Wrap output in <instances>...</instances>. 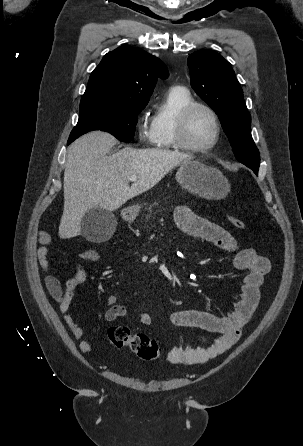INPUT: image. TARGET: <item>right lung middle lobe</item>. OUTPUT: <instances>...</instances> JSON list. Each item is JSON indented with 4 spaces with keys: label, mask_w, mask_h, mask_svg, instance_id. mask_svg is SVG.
Instances as JSON below:
<instances>
[{
    "label": "right lung middle lobe",
    "mask_w": 303,
    "mask_h": 446,
    "mask_svg": "<svg viewBox=\"0 0 303 446\" xmlns=\"http://www.w3.org/2000/svg\"><path fill=\"white\" fill-rule=\"evenodd\" d=\"M145 105L89 104L80 105L77 125L71 131L68 144L93 130L106 131L124 142L133 140L137 115Z\"/></svg>",
    "instance_id": "dd1d6c3e"
}]
</instances>
